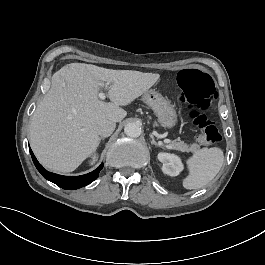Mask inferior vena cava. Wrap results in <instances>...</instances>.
I'll use <instances>...</instances> for the list:
<instances>
[{
  "label": "inferior vena cava",
  "instance_id": "obj_1",
  "mask_svg": "<svg viewBox=\"0 0 265 265\" xmlns=\"http://www.w3.org/2000/svg\"><path fill=\"white\" fill-rule=\"evenodd\" d=\"M116 124L110 120H101L98 123L97 132L102 137L110 136L115 130Z\"/></svg>",
  "mask_w": 265,
  "mask_h": 265
}]
</instances>
